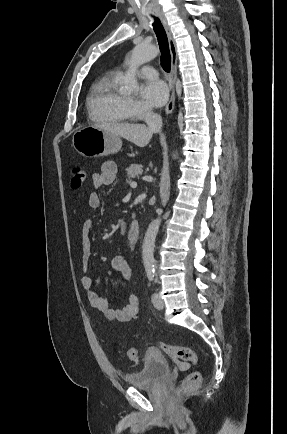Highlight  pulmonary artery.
Returning <instances> with one entry per match:
<instances>
[{"mask_svg": "<svg viewBox=\"0 0 287 434\" xmlns=\"http://www.w3.org/2000/svg\"><path fill=\"white\" fill-rule=\"evenodd\" d=\"M138 75L142 78L155 79L158 77L157 71L149 66H144L139 69Z\"/></svg>", "mask_w": 287, "mask_h": 434, "instance_id": "pulmonary-artery-1", "label": "pulmonary artery"}]
</instances>
